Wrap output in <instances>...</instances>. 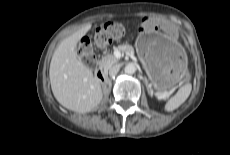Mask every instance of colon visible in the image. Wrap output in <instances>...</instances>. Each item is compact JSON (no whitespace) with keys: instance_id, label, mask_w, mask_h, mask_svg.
<instances>
[{"instance_id":"obj_1","label":"colon","mask_w":230,"mask_h":155,"mask_svg":"<svg viewBox=\"0 0 230 155\" xmlns=\"http://www.w3.org/2000/svg\"><path fill=\"white\" fill-rule=\"evenodd\" d=\"M124 34L122 26L118 23L106 22L97 29L92 40L87 35L80 37L79 54L88 67H94L97 62L94 46L104 48L119 39Z\"/></svg>"}]
</instances>
